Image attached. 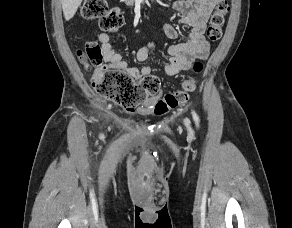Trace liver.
<instances>
[{"mask_svg":"<svg viewBox=\"0 0 292 228\" xmlns=\"http://www.w3.org/2000/svg\"><path fill=\"white\" fill-rule=\"evenodd\" d=\"M64 17L69 21L76 13L83 0H61Z\"/></svg>","mask_w":292,"mask_h":228,"instance_id":"liver-1","label":"liver"}]
</instances>
